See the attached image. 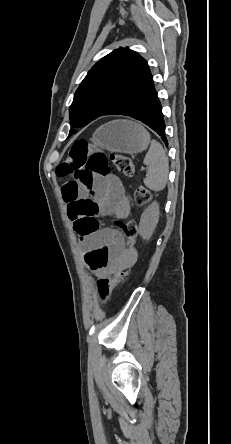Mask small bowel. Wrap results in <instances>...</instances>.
<instances>
[{"label": "small bowel", "mask_w": 231, "mask_h": 444, "mask_svg": "<svg viewBox=\"0 0 231 444\" xmlns=\"http://www.w3.org/2000/svg\"><path fill=\"white\" fill-rule=\"evenodd\" d=\"M62 195L72 221L71 206L90 197L97 206V213L100 216L112 217L115 225L126 219L130 213L124 186L116 176H97L91 187L76 186L72 181L67 182L62 187ZM79 241L84 247L86 265L101 278L133 265L137 259V252L125 250L121 235L109 228L87 237L79 236Z\"/></svg>", "instance_id": "1"}]
</instances>
